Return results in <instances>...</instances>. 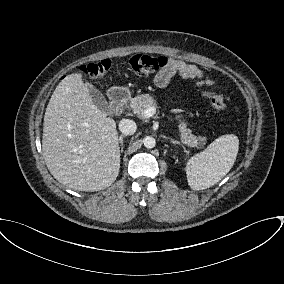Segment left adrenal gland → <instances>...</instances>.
Returning <instances> with one entry per match:
<instances>
[{"instance_id":"a2214340","label":"left adrenal gland","mask_w":284,"mask_h":284,"mask_svg":"<svg viewBox=\"0 0 284 284\" xmlns=\"http://www.w3.org/2000/svg\"><path fill=\"white\" fill-rule=\"evenodd\" d=\"M170 142H171L172 144H178V145H181V146L183 147L184 151H186V149H185L184 145H183L181 142H179V141H177V140H174V139H171V140H170Z\"/></svg>"}]
</instances>
